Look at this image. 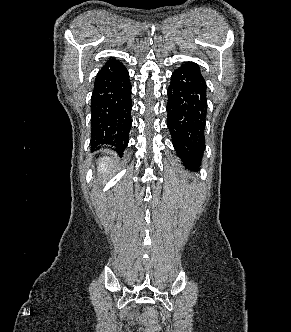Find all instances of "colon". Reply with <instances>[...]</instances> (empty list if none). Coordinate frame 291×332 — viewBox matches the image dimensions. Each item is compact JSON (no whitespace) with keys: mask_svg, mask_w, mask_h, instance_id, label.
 Returning <instances> with one entry per match:
<instances>
[{"mask_svg":"<svg viewBox=\"0 0 291 332\" xmlns=\"http://www.w3.org/2000/svg\"><path fill=\"white\" fill-rule=\"evenodd\" d=\"M142 320L146 325L144 332H159L158 314L155 310L147 308L142 315Z\"/></svg>","mask_w":291,"mask_h":332,"instance_id":"5ec220e1","label":"colon"}]
</instances>
